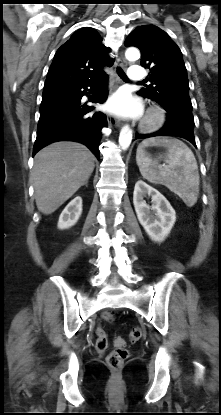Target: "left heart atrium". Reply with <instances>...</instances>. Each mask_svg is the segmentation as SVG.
I'll return each instance as SVG.
<instances>
[{"instance_id": "left-heart-atrium-1", "label": "left heart atrium", "mask_w": 221, "mask_h": 415, "mask_svg": "<svg viewBox=\"0 0 221 415\" xmlns=\"http://www.w3.org/2000/svg\"><path fill=\"white\" fill-rule=\"evenodd\" d=\"M106 109L120 117L137 118L142 115V105L126 90H119L108 100Z\"/></svg>"}]
</instances>
